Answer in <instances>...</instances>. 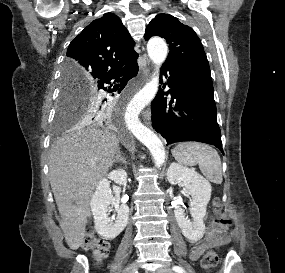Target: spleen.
Returning <instances> with one entry per match:
<instances>
[{"mask_svg":"<svg viewBox=\"0 0 285 273\" xmlns=\"http://www.w3.org/2000/svg\"><path fill=\"white\" fill-rule=\"evenodd\" d=\"M175 159L185 166L199 165L202 174L215 184L222 183L221 159L216 150L198 142H183L173 150Z\"/></svg>","mask_w":285,"mask_h":273,"instance_id":"1","label":"spleen"}]
</instances>
